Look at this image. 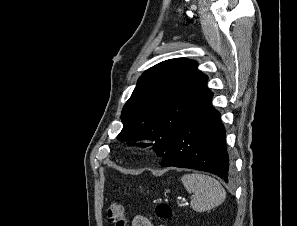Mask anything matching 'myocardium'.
I'll list each match as a JSON object with an SVG mask.
<instances>
[{
    "instance_id": "obj_1",
    "label": "myocardium",
    "mask_w": 297,
    "mask_h": 226,
    "mask_svg": "<svg viewBox=\"0 0 297 226\" xmlns=\"http://www.w3.org/2000/svg\"><path fill=\"white\" fill-rule=\"evenodd\" d=\"M154 142L155 140L152 137H144L141 139V144L146 147H150Z\"/></svg>"
}]
</instances>
